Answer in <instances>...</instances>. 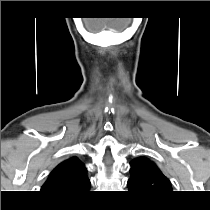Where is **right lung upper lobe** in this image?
<instances>
[{
    "label": "right lung upper lobe",
    "mask_w": 210,
    "mask_h": 210,
    "mask_svg": "<svg viewBox=\"0 0 210 210\" xmlns=\"http://www.w3.org/2000/svg\"><path fill=\"white\" fill-rule=\"evenodd\" d=\"M85 165L72 157L57 165L42 186V193L56 199L79 198L90 188Z\"/></svg>",
    "instance_id": "obj_1"
}]
</instances>
